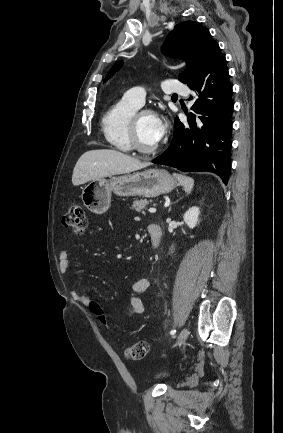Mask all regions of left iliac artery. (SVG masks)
<instances>
[{
	"label": "left iliac artery",
	"mask_w": 283,
	"mask_h": 433,
	"mask_svg": "<svg viewBox=\"0 0 283 433\" xmlns=\"http://www.w3.org/2000/svg\"><path fill=\"white\" fill-rule=\"evenodd\" d=\"M175 333H176V330H175V329H173V330L170 331V334H171V335H174Z\"/></svg>",
	"instance_id": "1"
}]
</instances>
